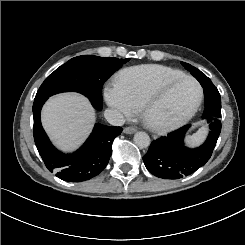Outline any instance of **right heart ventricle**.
Segmentation results:
<instances>
[{"label": "right heart ventricle", "instance_id": "obj_1", "mask_svg": "<svg viewBox=\"0 0 245 245\" xmlns=\"http://www.w3.org/2000/svg\"><path fill=\"white\" fill-rule=\"evenodd\" d=\"M183 75L178 70L160 65H145L129 70L114 80L113 87L119 90L134 107L140 105L144 91L156 80Z\"/></svg>", "mask_w": 245, "mask_h": 245}]
</instances>
